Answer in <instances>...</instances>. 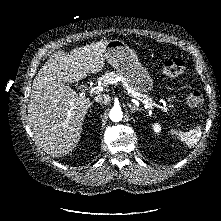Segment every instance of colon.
Returning a JSON list of instances; mask_svg holds the SVG:
<instances>
[{
    "instance_id": "1",
    "label": "colon",
    "mask_w": 221,
    "mask_h": 221,
    "mask_svg": "<svg viewBox=\"0 0 221 221\" xmlns=\"http://www.w3.org/2000/svg\"><path fill=\"white\" fill-rule=\"evenodd\" d=\"M185 71L184 62L179 58L169 59L161 68V73L165 77L173 78L182 75ZM191 107H199L203 104V95L195 90L189 93L186 99Z\"/></svg>"
}]
</instances>
